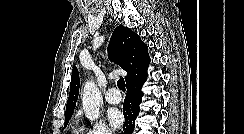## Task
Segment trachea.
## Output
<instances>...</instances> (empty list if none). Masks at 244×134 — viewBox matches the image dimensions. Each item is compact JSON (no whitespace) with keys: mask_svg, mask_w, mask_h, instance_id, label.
I'll use <instances>...</instances> for the list:
<instances>
[{"mask_svg":"<svg viewBox=\"0 0 244 134\" xmlns=\"http://www.w3.org/2000/svg\"><path fill=\"white\" fill-rule=\"evenodd\" d=\"M117 86L120 90H122L123 92H125L126 88H125V81L123 78H120L118 81H117Z\"/></svg>","mask_w":244,"mask_h":134,"instance_id":"obj_1","label":"trachea"}]
</instances>
